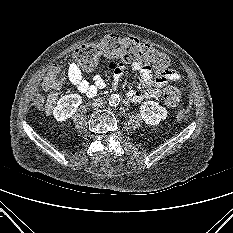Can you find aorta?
Returning <instances> with one entry per match:
<instances>
[{"instance_id": "1", "label": "aorta", "mask_w": 233, "mask_h": 233, "mask_svg": "<svg viewBox=\"0 0 233 233\" xmlns=\"http://www.w3.org/2000/svg\"><path fill=\"white\" fill-rule=\"evenodd\" d=\"M119 102H120V98H119V96L117 94H112L109 97V104L111 106H117Z\"/></svg>"}]
</instances>
